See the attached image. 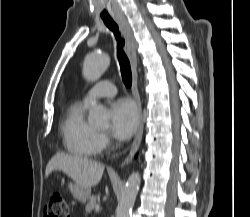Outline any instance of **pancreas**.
<instances>
[{
	"label": "pancreas",
	"instance_id": "pancreas-1",
	"mask_svg": "<svg viewBox=\"0 0 250 217\" xmlns=\"http://www.w3.org/2000/svg\"><path fill=\"white\" fill-rule=\"evenodd\" d=\"M97 197L96 196H92L89 199V202L87 203L86 207H85V211L87 213H90L92 210H94L95 206L97 205L96 203Z\"/></svg>",
	"mask_w": 250,
	"mask_h": 217
}]
</instances>
